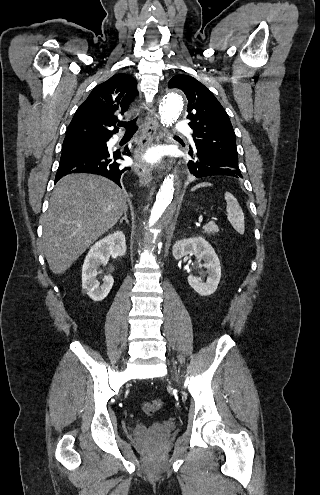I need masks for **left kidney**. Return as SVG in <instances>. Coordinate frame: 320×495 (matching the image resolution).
Returning <instances> with one entry per match:
<instances>
[{
  "mask_svg": "<svg viewBox=\"0 0 320 495\" xmlns=\"http://www.w3.org/2000/svg\"><path fill=\"white\" fill-rule=\"evenodd\" d=\"M172 253L176 260L189 254H194L199 264L203 260L202 266L208 274L206 282H201L198 277L189 275L188 283L201 296H209L216 291L221 279L220 261L213 247L204 238L197 237L176 241Z\"/></svg>",
  "mask_w": 320,
  "mask_h": 495,
  "instance_id": "5707ae66",
  "label": "left kidney"
}]
</instances>
